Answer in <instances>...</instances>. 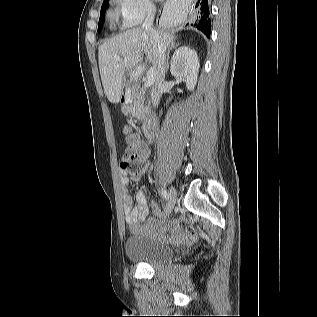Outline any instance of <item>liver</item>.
<instances>
[{
  "instance_id": "6515ba94",
  "label": "liver",
  "mask_w": 317,
  "mask_h": 317,
  "mask_svg": "<svg viewBox=\"0 0 317 317\" xmlns=\"http://www.w3.org/2000/svg\"><path fill=\"white\" fill-rule=\"evenodd\" d=\"M164 49L175 44L173 32L156 31ZM156 69V51L149 35L142 28H133L112 37L99 46V70L105 95L109 102L118 103L123 95L125 75L134 69L138 76L143 68L140 66L142 53Z\"/></svg>"
}]
</instances>
